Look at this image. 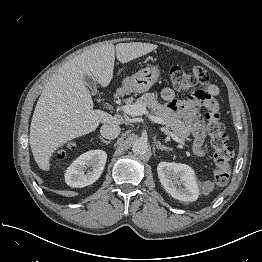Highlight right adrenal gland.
<instances>
[{"label": "right adrenal gland", "instance_id": "2a0ac1e0", "mask_svg": "<svg viewBox=\"0 0 262 262\" xmlns=\"http://www.w3.org/2000/svg\"><path fill=\"white\" fill-rule=\"evenodd\" d=\"M99 138H100V140L102 141V142H104L105 144H110L111 143V141H107V140H105L102 136H98Z\"/></svg>", "mask_w": 262, "mask_h": 262}]
</instances>
